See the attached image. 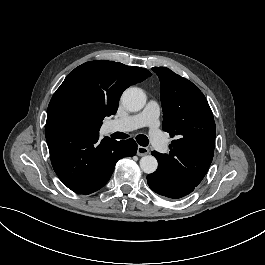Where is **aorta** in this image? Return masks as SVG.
<instances>
[{
	"mask_svg": "<svg viewBox=\"0 0 265 265\" xmlns=\"http://www.w3.org/2000/svg\"><path fill=\"white\" fill-rule=\"evenodd\" d=\"M122 105L130 112H137L144 108L147 96L141 88L130 87L121 96ZM140 168L144 173L150 174L156 171L158 163L154 156L146 155L140 159Z\"/></svg>",
	"mask_w": 265,
	"mask_h": 265,
	"instance_id": "obj_1",
	"label": "aorta"
}]
</instances>
